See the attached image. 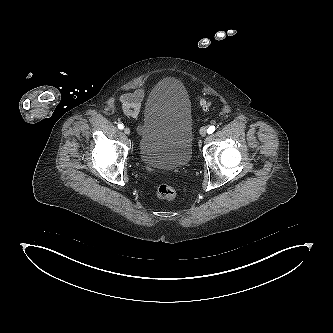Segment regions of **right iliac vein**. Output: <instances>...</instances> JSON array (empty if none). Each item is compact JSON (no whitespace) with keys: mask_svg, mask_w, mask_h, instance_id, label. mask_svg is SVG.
Wrapping results in <instances>:
<instances>
[{"mask_svg":"<svg viewBox=\"0 0 333 333\" xmlns=\"http://www.w3.org/2000/svg\"><path fill=\"white\" fill-rule=\"evenodd\" d=\"M130 132H131V131H130V128H128V127H125V128H124V133H125V134L129 135Z\"/></svg>","mask_w":333,"mask_h":333,"instance_id":"63e3f726","label":"right iliac vein"}]
</instances>
